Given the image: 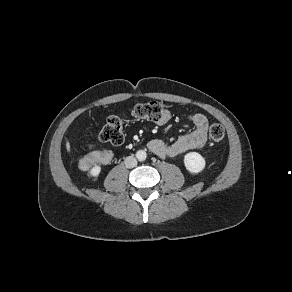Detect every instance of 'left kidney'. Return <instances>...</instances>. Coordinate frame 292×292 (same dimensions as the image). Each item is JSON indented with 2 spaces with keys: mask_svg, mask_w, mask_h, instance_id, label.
<instances>
[{
  "mask_svg": "<svg viewBox=\"0 0 292 292\" xmlns=\"http://www.w3.org/2000/svg\"><path fill=\"white\" fill-rule=\"evenodd\" d=\"M184 165L190 173L197 174L205 168V160L199 153L190 152L184 156Z\"/></svg>",
  "mask_w": 292,
  "mask_h": 292,
  "instance_id": "5707ae66",
  "label": "left kidney"
}]
</instances>
